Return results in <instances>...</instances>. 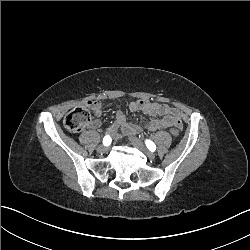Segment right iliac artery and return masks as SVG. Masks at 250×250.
<instances>
[{
  "label": "right iliac artery",
  "mask_w": 250,
  "mask_h": 250,
  "mask_svg": "<svg viewBox=\"0 0 250 250\" xmlns=\"http://www.w3.org/2000/svg\"><path fill=\"white\" fill-rule=\"evenodd\" d=\"M112 142V139L109 135H106L104 138H103V144L105 146H109Z\"/></svg>",
  "instance_id": "right-iliac-artery-1"
}]
</instances>
